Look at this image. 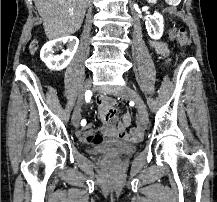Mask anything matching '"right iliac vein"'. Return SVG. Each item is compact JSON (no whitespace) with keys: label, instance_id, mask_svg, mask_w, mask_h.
Returning a JSON list of instances; mask_svg holds the SVG:
<instances>
[{"label":"right iliac vein","instance_id":"1","mask_svg":"<svg viewBox=\"0 0 217 202\" xmlns=\"http://www.w3.org/2000/svg\"><path fill=\"white\" fill-rule=\"evenodd\" d=\"M91 85H92V81L86 80L82 86L81 92L78 96L76 108L73 112L72 119H71L72 125L74 127H78L79 125V121L81 118V106H82V101H83V95L86 91H88L91 88Z\"/></svg>","mask_w":217,"mask_h":202}]
</instances>
